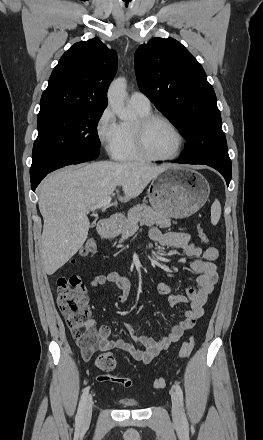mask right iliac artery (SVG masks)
I'll use <instances>...</instances> for the list:
<instances>
[{
    "label": "right iliac artery",
    "mask_w": 263,
    "mask_h": 440,
    "mask_svg": "<svg viewBox=\"0 0 263 440\" xmlns=\"http://www.w3.org/2000/svg\"><path fill=\"white\" fill-rule=\"evenodd\" d=\"M88 394H89V387L84 389V392H83L81 399H80V402H79V407H78V411H77V415H76V424L77 425L81 424L83 410H84L86 400L88 398Z\"/></svg>",
    "instance_id": "1"
}]
</instances>
